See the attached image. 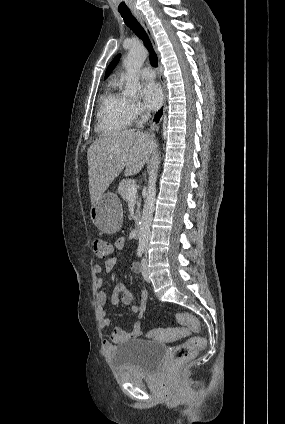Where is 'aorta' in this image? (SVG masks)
<instances>
[{"label": "aorta", "instance_id": "762f6f07", "mask_svg": "<svg viewBox=\"0 0 285 424\" xmlns=\"http://www.w3.org/2000/svg\"><path fill=\"white\" fill-rule=\"evenodd\" d=\"M147 50L144 47L132 48L126 59L124 60V66L126 69L125 74V90L124 94L130 97H135L139 92L141 85L139 82L140 69L147 58ZM159 156L153 164L148 180V189L145 204L143 207L142 218L140 222L139 231V247L145 248L148 245L150 226L154 212V203L156 197V181L158 176L159 168Z\"/></svg>", "mask_w": 285, "mask_h": 424}]
</instances>
